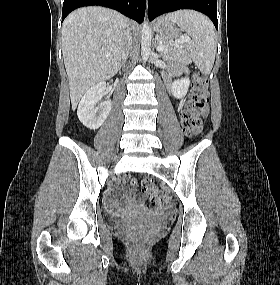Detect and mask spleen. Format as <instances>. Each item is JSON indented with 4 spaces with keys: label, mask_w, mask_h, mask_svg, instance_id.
<instances>
[{
    "label": "spleen",
    "mask_w": 280,
    "mask_h": 285,
    "mask_svg": "<svg viewBox=\"0 0 280 285\" xmlns=\"http://www.w3.org/2000/svg\"><path fill=\"white\" fill-rule=\"evenodd\" d=\"M190 36L186 48L191 53L195 65L205 74L212 70L217 41L212 22L204 15L190 10L176 11L166 16Z\"/></svg>",
    "instance_id": "3e777b00"
}]
</instances>
